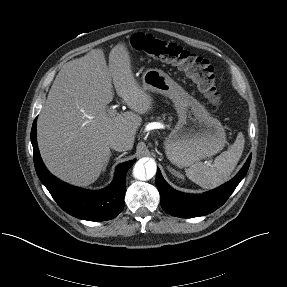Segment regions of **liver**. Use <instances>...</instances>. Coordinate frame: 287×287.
<instances>
[{
  "mask_svg": "<svg viewBox=\"0 0 287 287\" xmlns=\"http://www.w3.org/2000/svg\"><path fill=\"white\" fill-rule=\"evenodd\" d=\"M112 80L131 111L110 114ZM145 91L134 78L124 42L111 50L109 67L101 48L64 64L37 122L38 146L49 171L76 186L94 183L110 155L112 138L124 139L132 149L140 115L152 109Z\"/></svg>",
  "mask_w": 287,
  "mask_h": 287,
  "instance_id": "1",
  "label": "liver"
}]
</instances>
